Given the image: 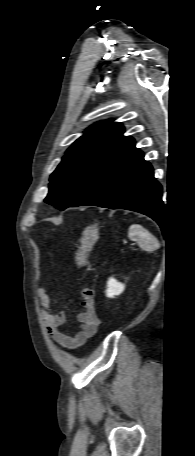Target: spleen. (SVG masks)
Here are the masks:
<instances>
[{"mask_svg": "<svg viewBox=\"0 0 195 456\" xmlns=\"http://www.w3.org/2000/svg\"><path fill=\"white\" fill-rule=\"evenodd\" d=\"M128 236L145 250H154L158 246L155 237L144 227L138 224H132L129 228Z\"/></svg>", "mask_w": 195, "mask_h": 456, "instance_id": "obj_1", "label": "spleen"}]
</instances>
